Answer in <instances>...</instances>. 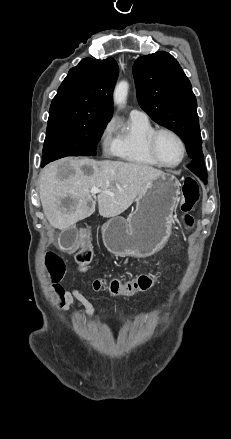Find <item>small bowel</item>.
I'll list each match as a JSON object with an SVG mask.
<instances>
[{"mask_svg":"<svg viewBox=\"0 0 231 439\" xmlns=\"http://www.w3.org/2000/svg\"><path fill=\"white\" fill-rule=\"evenodd\" d=\"M74 301H77L84 308L88 319L92 318L94 315L93 305L77 289L64 291L60 297V306L66 310Z\"/></svg>","mask_w":231,"mask_h":439,"instance_id":"small-bowel-1","label":"small bowel"}]
</instances>
